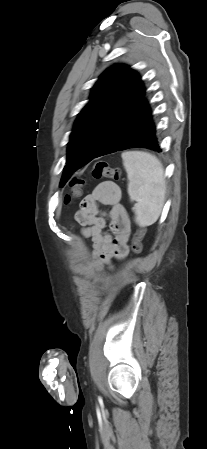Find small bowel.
Here are the masks:
<instances>
[{
  "label": "small bowel",
  "instance_id": "obj_1",
  "mask_svg": "<svg viewBox=\"0 0 207 449\" xmlns=\"http://www.w3.org/2000/svg\"><path fill=\"white\" fill-rule=\"evenodd\" d=\"M99 206L110 207V232L106 231L107 220L100 214ZM75 219L81 226V236L90 239L93 246L91 260L74 266L76 274L91 276L95 271L111 268L113 259L127 257L131 227L126 209L121 204V191L115 183H100L82 200Z\"/></svg>",
  "mask_w": 207,
  "mask_h": 449
}]
</instances>
